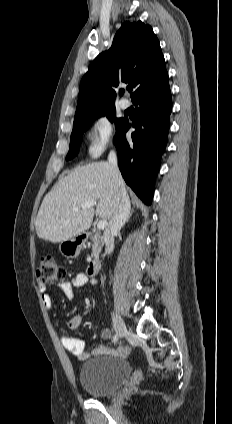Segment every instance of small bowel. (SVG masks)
<instances>
[{"label":"small bowel","instance_id":"small-bowel-1","mask_svg":"<svg viewBox=\"0 0 232 424\" xmlns=\"http://www.w3.org/2000/svg\"><path fill=\"white\" fill-rule=\"evenodd\" d=\"M95 285L96 280L91 277L86 272H80L76 274L70 281L62 282L58 285L61 292L69 299L73 298L74 290L80 288L84 285ZM39 290L42 292V303L47 309L52 308V298L49 294L45 293V287L39 285ZM82 323V315L74 314L70 316L66 322L67 328L71 331L77 330ZM112 337V332L109 328H105L100 333V338L102 340H109ZM61 342L63 347L74 357L79 360H87L93 355H111L115 357H126L130 349L128 346H120L116 348H111L105 344H98L91 348L90 350L86 349L85 343L75 337H72L68 334L61 335Z\"/></svg>","mask_w":232,"mask_h":424}]
</instances>
